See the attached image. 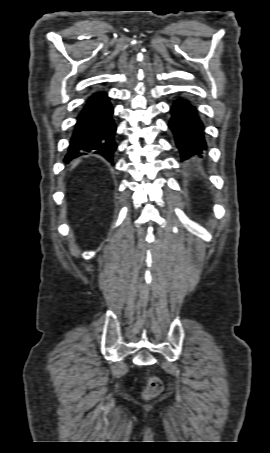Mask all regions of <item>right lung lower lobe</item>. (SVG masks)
I'll return each instance as SVG.
<instances>
[{"label":"right lung lower lobe","mask_w":270,"mask_h":453,"mask_svg":"<svg viewBox=\"0 0 270 453\" xmlns=\"http://www.w3.org/2000/svg\"><path fill=\"white\" fill-rule=\"evenodd\" d=\"M115 133L113 107L107 93L100 91L92 94L77 117L65 162L87 153L99 154L113 162L117 148Z\"/></svg>","instance_id":"obj_1"}]
</instances>
